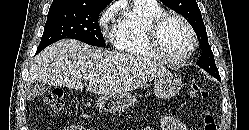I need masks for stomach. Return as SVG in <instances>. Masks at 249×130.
<instances>
[{
	"mask_svg": "<svg viewBox=\"0 0 249 130\" xmlns=\"http://www.w3.org/2000/svg\"><path fill=\"white\" fill-rule=\"evenodd\" d=\"M182 84L178 78L172 74L159 77L155 81V95L168 99L175 96L181 89ZM137 101V97L130 93L102 95L97 101V107L106 113H115L125 110L133 106Z\"/></svg>",
	"mask_w": 249,
	"mask_h": 130,
	"instance_id": "1",
	"label": "stomach"
}]
</instances>
